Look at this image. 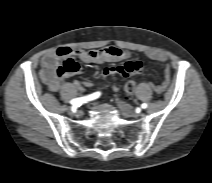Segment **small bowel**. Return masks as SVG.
Listing matches in <instances>:
<instances>
[{"mask_svg": "<svg viewBox=\"0 0 212 183\" xmlns=\"http://www.w3.org/2000/svg\"><path fill=\"white\" fill-rule=\"evenodd\" d=\"M72 56L77 57L83 63H113L122 60H126L130 57L128 51L122 50L114 46H108L98 50L85 51V50H73L71 48L63 47L59 48L51 53L46 54L42 58V70L41 78L44 83L48 86L49 90L52 92L57 91L61 85V78H57L55 71L56 68L60 65L62 59L70 58ZM147 57L160 62L166 63L167 57L164 53L156 50H151L147 52ZM143 74V65L138 61H128L123 65L107 67L102 71L104 77L121 75L127 77L129 75H142ZM68 75V74H67ZM170 81V71L166 67L165 75L163 82L157 86L158 92H163L168 86ZM75 87L82 89L83 86L89 87L92 86L91 81H85L80 83L76 81L74 83Z\"/></svg>", "mask_w": 212, "mask_h": 183, "instance_id": "1", "label": "small bowel"}]
</instances>
